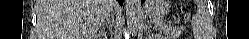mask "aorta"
<instances>
[{"label": "aorta", "mask_w": 249, "mask_h": 39, "mask_svg": "<svg viewBox=\"0 0 249 39\" xmlns=\"http://www.w3.org/2000/svg\"><path fill=\"white\" fill-rule=\"evenodd\" d=\"M140 0H125L127 24L130 28H136L140 16Z\"/></svg>", "instance_id": "762f6f07"}]
</instances>
